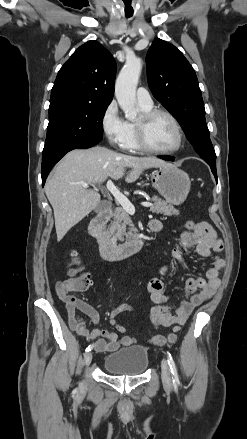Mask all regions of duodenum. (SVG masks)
Instances as JSON below:
<instances>
[{
	"instance_id": "duodenum-1",
	"label": "duodenum",
	"mask_w": 247,
	"mask_h": 439,
	"mask_svg": "<svg viewBox=\"0 0 247 439\" xmlns=\"http://www.w3.org/2000/svg\"><path fill=\"white\" fill-rule=\"evenodd\" d=\"M111 209H107L89 224V234L97 241L101 255L108 260L128 257L140 251L145 245V238L135 236L124 243H114L105 233L104 228L111 217Z\"/></svg>"
}]
</instances>
